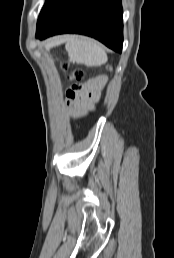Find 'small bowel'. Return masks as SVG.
Returning a JSON list of instances; mask_svg holds the SVG:
<instances>
[{
    "instance_id": "small-bowel-1",
    "label": "small bowel",
    "mask_w": 174,
    "mask_h": 258,
    "mask_svg": "<svg viewBox=\"0 0 174 258\" xmlns=\"http://www.w3.org/2000/svg\"><path fill=\"white\" fill-rule=\"evenodd\" d=\"M103 85H107L106 77L103 75L90 79L74 99L68 101V106L75 115H80L90 109L92 105H99L102 96L99 92Z\"/></svg>"
}]
</instances>
